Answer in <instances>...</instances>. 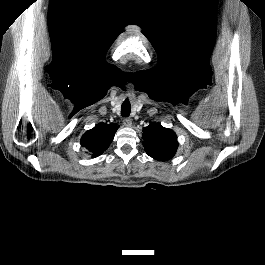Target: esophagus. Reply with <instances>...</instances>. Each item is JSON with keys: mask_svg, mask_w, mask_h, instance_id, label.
<instances>
[{"mask_svg": "<svg viewBox=\"0 0 265 265\" xmlns=\"http://www.w3.org/2000/svg\"><path fill=\"white\" fill-rule=\"evenodd\" d=\"M123 124L126 127H131L132 126V121H131L130 118L126 117V118L123 119Z\"/></svg>", "mask_w": 265, "mask_h": 265, "instance_id": "34e87169", "label": "esophagus"}]
</instances>
